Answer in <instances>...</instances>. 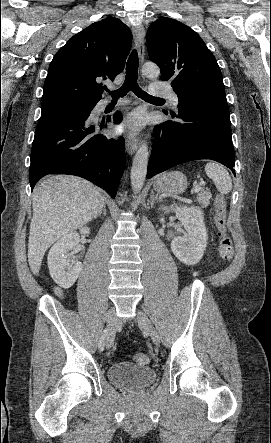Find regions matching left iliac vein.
<instances>
[{
	"instance_id": "left-iliac-vein-1",
	"label": "left iliac vein",
	"mask_w": 271,
	"mask_h": 443,
	"mask_svg": "<svg viewBox=\"0 0 271 443\" xmlns=\"http://www.w3.org/2000/svg\"><path fill=\"white\" fill-rule=\"evenodd\" d=\"M137 321L138 324L149 334L154 344L158 346L160 344L159 335L149 318L141 310H138L137 312Z\"/></svg>"
}]
</instances>
